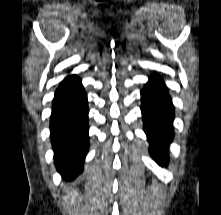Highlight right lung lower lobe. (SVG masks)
I'll use <instances>...</instances> for the list:
<instances>
[{
	"label": "right lung lower lobe",
	"mask_w": 221,
	"mask_h": 215,
	"mask_svg": "<svg viewBox=\"0 0 221 215\" xmlns=\"http://www.w3.org/2000/svg\"><path fill=\"white\" fill-rule=\"evenodd\" d=\"M88 112L87 95L80 78L66 77L55 92L50 129L55 165L67 181L83 170L89 148Z\"/></svg>",
	"instance_id": "98d812e1"
}]
</instances>
